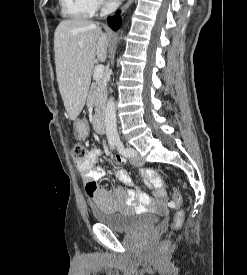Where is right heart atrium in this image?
I'll return each instance as SVG.
<instances>
[{"label":"right heart atrium","mask_w":247,"mask_h":275,"mask_svg":"<svg viewBox=\"0 0 247 275\" xmlns=\"http://www.w3.org/2000/svg\"><path fill=\"white\" fill-rule=\"evenodd\" d=\"M96 4L98 8H103L107 6V1L106 0H96Z\"/></svg>","instance_id":"1"}]
</instances>
